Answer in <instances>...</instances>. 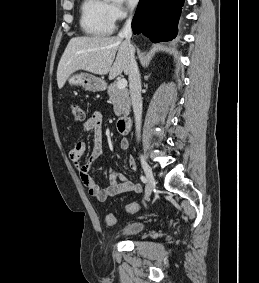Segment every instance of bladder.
I'll return each mask as SVG.
<instances>
[{
	"instance_id": "1",
	"label": "bladder",
	"mask_w": 259,
	"mask_h": 283,
	"mask_svg": "<svg viewBox=\"0 0 259 283\" xmlns=\"http://www.w3.org/2000/svg\"><path fill=\"white\" fill-rule=\"evenodd\" d=\"M145 227L143 222H131L125 225L120 231L118 232L119 237H129L134 236L140 233Z\"/></svg>"
}]
</instances>
